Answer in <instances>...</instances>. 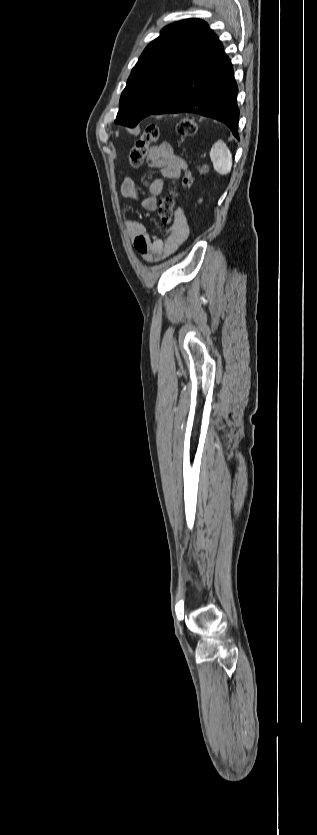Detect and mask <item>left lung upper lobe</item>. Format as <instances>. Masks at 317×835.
<instances>
[{
  "label": "left lung upper lobe",
  "mask_w": 317,
  "mask_h": 835,
  "mask_svg": "<svg viewBox=\"0 0 317 835\" xmlns=\"http://www.w3.org/2000/svg\"><path fill=\"white\" fill-rule=\"evenodd\" d=\"M215 33L199 19L168 25L144 50L120 98L116 123L135 127L172 93L187 67Z\"/></svg>",
  "instance_id": "left-lung-upper-lobe-1"
}]
</instances>
